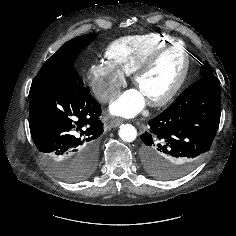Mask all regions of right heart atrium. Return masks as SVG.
<instances>
[{"instance_id": "right-heart-atrium-1", "label": "right heart atrium", "mask_w": 236, "mask_h": 236, "mask_svg": "<svg viewBox=\"0 0 236 236\" xmlns=\"http://www.w3.org/2000/svg\"><path fill=\"white\" fill-rule=\"evenodd\" d=\"M88 79L96 99L108 103L120 91L125 83L124 75L113 68L107 61H99L90 66Z\"/></svg>"}]
</instances>
